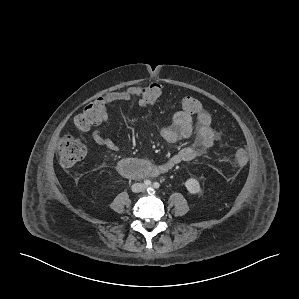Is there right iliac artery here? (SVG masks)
<instances>
[{"mask_svg": "<svg viewBox=\"0 0 299 299\" xmlns=\"http://www.w3.org/2000/svg\"><path fill=\"white\" fill-rule=\"evenodd\" d=\"M144 184H145L146 186H149V185H151V181H150V180H145V181H144Z\"/></svg>", "mask_w": 299, "mask_h": 299, "instance_id": "1", "label": "right iliac artery"}]
</instances>
